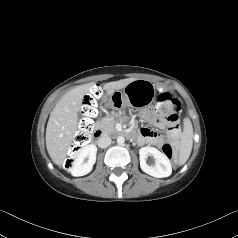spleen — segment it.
Masks as SVG:
<instances>
[{"label":"spleen","instance_id":"spleen-1","mask_svg":"<svg viewBox=\"0 0 238 238\" xmlns=\"http://www.w3.org/2000/svg\"><path fill=\"white\" fill-rule=\"evenodd\" d=\"M193 145V128L190 119H184L182 146L179 155V165H183L190 156Z\"/></svg>","mask_w":238,"mask_h":238}]
</instances>
